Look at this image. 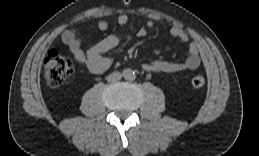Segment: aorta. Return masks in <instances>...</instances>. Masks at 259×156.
<instances>
[{
  "label": "aorta",
  "mask_w": 259,
  "mask_h": 156,
  "mask_svg": "<svg viewBox=\"0 0 259 156\" xmlns=\"http://www.w3.org/2000/svg\"><path fill=\"white\" fill-rule=\"evenodd\" d=\"M123 77L127 80H133L135 78V74H134V71L131 70V69H125L123 71Z\"/></svg>",
  "instance_id": "obj_1"
}]
</instances>
